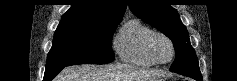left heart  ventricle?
I'll list each match as a JSON object with an SVG mask.
<instances>
[{"label": "left heart ventricle", "instance_id": "left-heart-ventricle-1", "mask_svg": "<svg viewBox=\"0 0 237 81\" xmlns=\"http://www.w3.org/2000/svg\"><path fill=\"white\" fill-rule=\"evenodd\" d=\"M155 51L158 59L161 61H166L171 56V47L169 43L162 38L157 39L155 43Z\"/></svg>", "mask_w": 237, "mask_h": 81}]
</instances>
